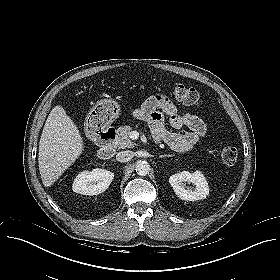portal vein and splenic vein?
Wrapping results in <instances>:
<instances>
[{
  "instance_id": "18ae733b",
  "label": "portal vein and splenic vein",
  "mask_w": 280,
  "mask_h": 280,
  "mask_svg": "<svg viewBox=\"0 0 280 280\" xmlns=\"http://www.w3.org/2000/svg\"><path fill=\"white\" fill-rule=\"evenodd\" d=\"M131 135H138V133L136 131H132Z\"/></svg>"
}]
</instances>
